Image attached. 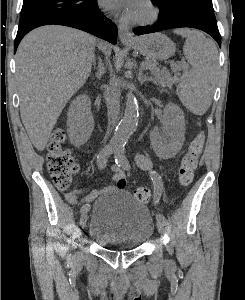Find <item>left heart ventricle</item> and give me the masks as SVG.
Segmentation results:
<instances>
[{"instance_id": "obj_1", "label": "left heart ventricle", "mask_w": 245, "mask_h": 300, "mask_svg": "<svg viewBox=\"0 0 245 300\" xmlns=\"http://www.w3.org/2000/svg\"><path fill=\"white\" fill-rule=\"evenodd\" d=\"M148 14V9L144 5V3L141 1L139 5L136 7L134 13H133V18H142L145 17Z\"/></svg>"}]
</instances>
